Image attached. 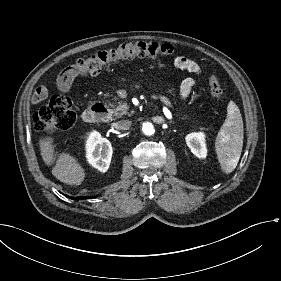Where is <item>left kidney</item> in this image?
<instances>
[{
    "label": "left kidney",
    "mask_w": 281,
    "mask_h": 281,
    "mask_svg": "<svg viewBox=\"0 0 281 281\" xmlns=\"http://www.w3.org/2000/svg\"><path fill=\"white\" fill-rule=\"evenodd\" d=\"M204 132H192L186 135V144L191 152L198 158L204 159L207 156V147Z\"/></svg>",
    "instance_id": "left-kidney-1"
}]
</instances>
